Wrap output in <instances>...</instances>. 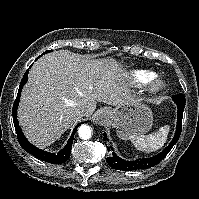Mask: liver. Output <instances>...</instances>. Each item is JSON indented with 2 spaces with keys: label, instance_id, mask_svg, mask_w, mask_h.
Segmentation results:
<instances>
[{
  "label": "liver",
  "instance_id": "6515ba94",
  "mask_svg": "<svg viewBox=\"0 0 199 199\" xmlns=\"http://www.w3.org/2000/svg\"><path fill=\"white\" fill-rule=\"evenodd\" d=\"M126 73L112 59L94 60L66 50L40 58L30 70L18 109L27 139L41 148L54 143L79 120L77 108L89 117L98 102L116 106L130 96Z\"/></svg>",
  "mask_w": 199,
  "mask_h": 199
}]
</instances>
